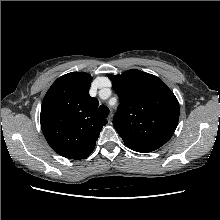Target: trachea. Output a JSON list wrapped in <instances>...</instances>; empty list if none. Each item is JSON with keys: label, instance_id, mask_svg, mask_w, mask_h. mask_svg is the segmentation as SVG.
<instances>
[{"label": "trachea", "instance_id": "3493384b", "mask_svg": "<svg viewBox=\"0 0 220 220\" xmlns=\"http://www.w3.org/2000/svg\"><path fill=\"white\" fill-rule=\"evenodd\" d=\"M99 114L102 117L106 118L109 115V108L107 106H105V105H101L99 107Z\"/></svg>", "mask_w": 220, "mask_h": 220}]
</instances>
